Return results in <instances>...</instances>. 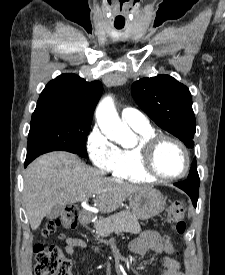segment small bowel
<instances>
[{"mask_svg":"<svg viewBox=\"0 0 225 275\" xmlns=\"http://www.w3.org/2000/svg\"><path fill=\"white\" fill-rule=\"evenodd\" d=\"M87 244L78 237H69L66 240L64 251L70 256L75 255L77 249H86ZM163 237L156 231H145L134 239L130 244V250L137 255H145L152 251L157 254H163L167 250ZM164 271L161 275H184L177 261L171 257L162 258Z\"/></svg>","mask_w":225,"mask_h":275,"instance_id":"1","label":"small bowel"}]
</instances>
